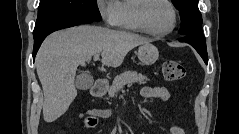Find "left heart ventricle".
<instances>
[{
  "label": "left heart ventricle",
  "mask_w": 239,
  "mask_h": 134,
  "mask_svg": "<svg viewBox=\"0 0 239 134\" xmlns=\"http://www.w3.org/2000/svg\"><path fill=\"white\" fill-rule=\"evenodd\" d=\"M146 21L152 30L165 31L172 24L171 10L161 1H152L146 10Z\"/></svg>",
  "instance_id": "obj_1"
}]
</instances>
